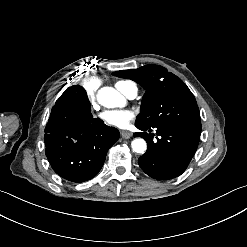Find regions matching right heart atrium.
<instances>
[{"instance_id":"right-heart-atrium-1","label":"right heart atrium","mask_w":247,"mask_h":247,"mask_svg":"<svg viewBox=\"0 0 247 247\" xmlns=\"http://www.w3.org/2000/svg\"><path fill=\"white\" fill-rule=\"evenodd\" d=\"M103 86V79L100 76L88 78L83 85V92L90 96L91 110L94 113H99L102 110V105L99 103L103 99V94L97 91Z\"/></svg>"}]
</instances>
